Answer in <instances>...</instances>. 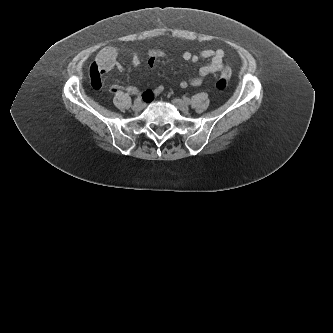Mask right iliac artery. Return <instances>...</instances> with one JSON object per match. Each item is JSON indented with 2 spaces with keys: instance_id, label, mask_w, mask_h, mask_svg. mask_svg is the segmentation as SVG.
Wrapping results in <instances>:
<instances>
[{
  "instance_id": "right-iliac-artery-1",
  "label": "right iliac artery",
  "mask_w": 333,
  "mask_h": 333,
  "mask_svg": "<svg viewBox=\"0 0 333 333\" xmlns=\"http://www.w3.org/2000/svg\"><path fill=\"white\" fill-rule=\"evenodd\" d=\"M141 101V98L138 96L135 100V102H140Z\"/></svg>"
}]
</instances>
